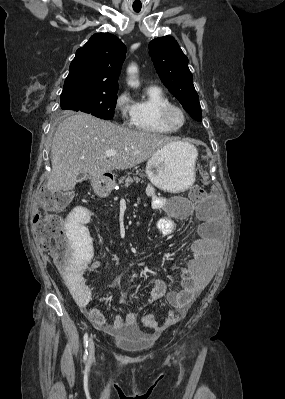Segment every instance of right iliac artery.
Returning a JSON list of instances; mask_svg holds the SVG:
<instances>
[{"label": "right iliac artery", "mask_w": 285, "mask_h": 399, "mask_svg": "<svg viewBox=\"0 0 285 399\" xmlns=\"http://www.w3.org/2000/svg\"><path fill=\"white\" fill-rule=\"evenodd\" d=\"M83 342H84V347H85V353H84V359L87 360L88 357V351H87V347H88V333H85L83 336Z\"/></svg>", "instance_id": "obj_1"}]
</instances>
